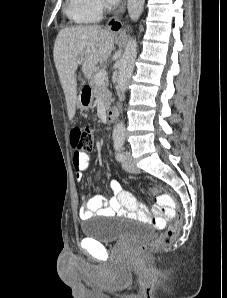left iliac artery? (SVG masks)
<instances>
[{
	"label": "left iliac artery",
	"mask_w": 227,
	"mask_h": 298,
	"mask_svg": "<svg viewBox=\"0 0 227 298\" xmlns=\"http://www.w3.org/2000/svg\"><path fill=\"white\" fill-rule=\"evenodd\" d=\"M124 138L118 137L114 140L115 158L118 161H124L126 158L123 152Z\"/></svg>",
	"instance_id": "44dca946"
}]
</instances>
